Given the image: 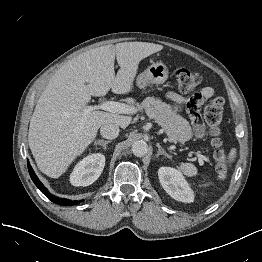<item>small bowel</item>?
<instances>
[{"label":"small bowel","mask_w":262,"mask_h":262,"mask_svg":"<svg viewBox=\"0 0 262 262\" xmlns=\"http://www.w3.org/2000/svg\"><path fill=\"white\" fill-rule=\"evenodd\" d=\"M214 94V88L211 86H205L203 87L194 97L193 102L196 106L202 105L207 99L211 98ZM168 99L176 102V103H183L186 102V100L178 95L175 92H169L167 94ZM193 126L198 136H200L202 124L198 117H194L193 120Z\"/></svg>","instance_id":"small-bowel-1"}]
</instances>
